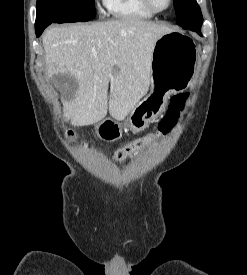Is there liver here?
Returning a JSON list of instances; mask_svg holds the SVG:
<instances>
[{
  "label": "liver",
  "instance_id": "obj_1",
  "mask_svg": "<svg viewBox=\"0 0 247 275\" xmlns=\"http://www.w3.org/2000/svg\"><path fill=\"white\" fill-rule=\"evenodd\" d=\"M168 32V27L138 18L47 30L42 43L48 78L69 74L78 84L75 92L62 93L66 121L92 125L108 110L117 121L124 120L148 92L154 44Z\"/></svg>",
  "mask_w": 247,
  "mask_h": 275
}]
</instances>
